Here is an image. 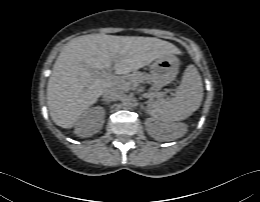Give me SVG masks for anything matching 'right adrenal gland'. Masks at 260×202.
<instances>
[{
	"label": "right adrenal gland",
	"mask_w": 260,
	"mask_h": 202,
	"mask_svg": "<svg viewBox=\"0 0 260 202\" xmlns=\"http://www.w3.org/2000/svg\"><path fill=\"white\" fill-rule=\"evenodd\" d=\"M104 102H105V104H109V102L108 101H105V100H103Z\"/></svg>",
	"instance_id": "right-adrenal-gland-1"
}]
</instances>
